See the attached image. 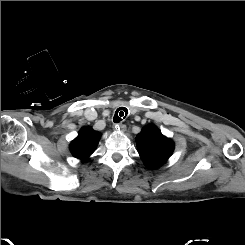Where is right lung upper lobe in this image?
Segmentation results:
<instances>
[{"mask_svg":"<svg viewBox=\"0 0 245 245\" xmlns=\"http://www.w3.org/2000/svg\"><path fill=\"white\" fill-rule=\"evenodd\" d=\"M100 136V133L92 128H82L78 136L70 144L71 153L83 162L87 161L88 157L95 151Z\"/></svg>","mask_w":245,"mask_h":245,"instance_id":"cb5924a9","label":"right lung upper lobe"}]
</instances>
